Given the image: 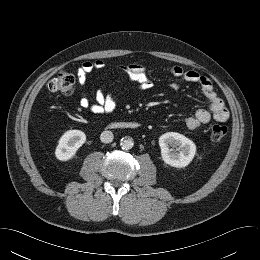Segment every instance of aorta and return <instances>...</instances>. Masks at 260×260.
I'll return each instance as SVG.
<instances>
[{
    "label": "aorta",
    "instance_id": "1",
    "mask_svg": "<svg viewBox=\"0 0 260 260\" xmlns=\"http://www.w3.org/2000/svg\"><path fill=\"white\" fill-rule=\"evenodd\" d=\"M121 148L123 150H129L133 147L134 143H133V139L130 137H125L121 139L120 142Z\"/></svg>",
    "mask_w": 260,
    "mask_h": 260
}]
</instances>
